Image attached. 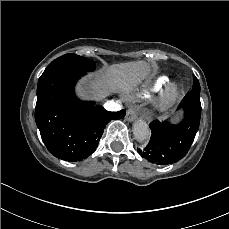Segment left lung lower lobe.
Returning a JSON list of instances; mask_svg holds the SVG:
<instances>
[{
	"instance_id": "0a47b994",
	"label": "left lung lower lobe",
	"mask_w": 229,
	"mask_h": 229,
	"mask_svg": "<svg viewBox=\"0 0 229 229\" xmlns=\"http://www.w3.org/2000/svg\"><path fill=\"white\" fill-rule=\"evenodd\" d=\"M193 80L192 91L179 105L184 109L183 121L178 125L158 121L150 123L152 135L149 144L144 150L137 149L149 162L158 165L175 163L187 154L193 143L201 117L200 84L195 75Z\"/></svg>"
}]
</instances>
